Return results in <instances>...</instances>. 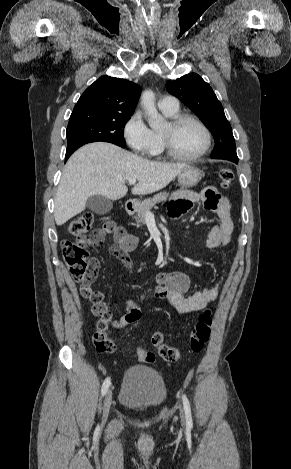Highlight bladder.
<instances>
[{
	"label": "bladder",
	"instance_id": "31cf9c89",
	"mask_svg": "<svg viewBox=\"0 0 291 469\" xmlns=\"http://www.w3.org/2000/svg\"><path fill=\"white\" fill-rule=\"evenodd\" d=\"M167 398V389L158 372L143 366H133L124 374L119 401L133 411H152Z\"/></svg>",
	"mask_w": 291,
	"mask_h": 469
}]
</instances>
